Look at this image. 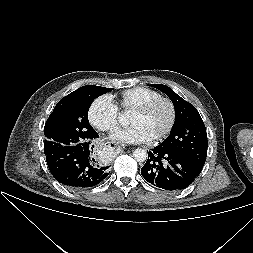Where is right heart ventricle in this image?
<instances>
[{
    "label": "right heart ventricle",
    "mask_w": 253,
    "mask_h": 253,
    "mask_svg": "<svg viewBox=\"0 0 253 253\" xmlns=\"http://www.w3.org/2000/svg\"><path fill=\"white\" fill-rule=\"evenodd\" d=\"M158 97L161 96L156 90L137 86L121 92L120 104L125 111H132L136 107Z\"/></svg>",
    "instance_id": "right-heart-ventricle-1"
}]
</instances>
